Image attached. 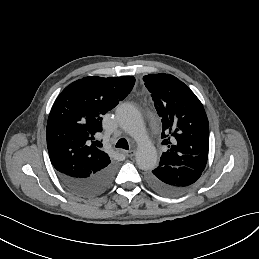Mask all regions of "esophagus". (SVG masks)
<instances>
[{
  "instance_id": "1",
  "label": "esophagus",
  "mask_w": 259,
  "mask_h": 259,
  "mask_svg": "<svg viewBox=\"0 0 259 259\" xmlns=\"http://www.w3.org/2000/svg\"><path fill=\"white\" fill-rule=\"evenodd\" d=\"M122 154L125 155L126 157H133L136 154L135 150H123Z\"/></svg>"
}]
</instances>
